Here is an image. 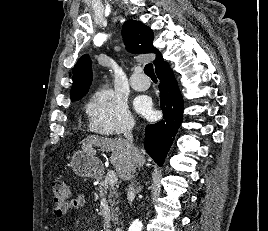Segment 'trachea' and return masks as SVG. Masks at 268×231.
<instances>
[{"instance_id":"3493384b","label":"trachea","mask_w":268,"mask_h":231,"mask_svg":"<svg viewBox=\"0 0 268 231\" xmlns=\"http://www.w3.org/2000/svg\"><path fill=\"white\" fill-rule=\"evenodd\" d=\"M144 73L149 76L150 78H156V75L154 73L153 65L151 63L147 64L144 67Z\"/></svg>"}]
</instances>
